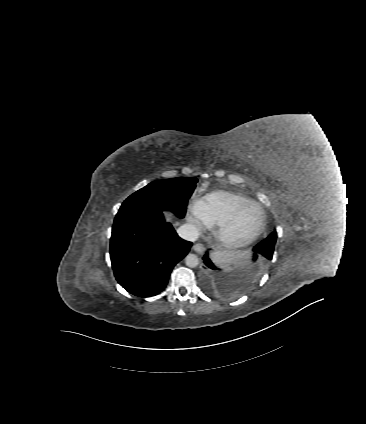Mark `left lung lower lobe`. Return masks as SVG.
<instances>
[{
  "mask_svg": "<svg viewBox=\"0 0 366 424\" xmlns=\"http://www.w3.org/2000/svg\"><path fill=\"white\" fill-rule=\"evenodd\" d=\"M253 252L254 253H253V258H252V262H251L252 265H254L255 261L259 257V254H258V252L256 250V246L254 247ZM203 260H204V263H203L204 266L203 267L205 269H212V270H215L216 269L215 265L211 262V260L209 258V252L208 251L204 255ZM209 274H210V272H207L206 273V275H209Z\"/></svg>",
  "mask_w": 366,
  "mask_h": 424,
  "instance_id": "0a47b994",
  "label": "left lung lower lobe"
}]
</instances>
